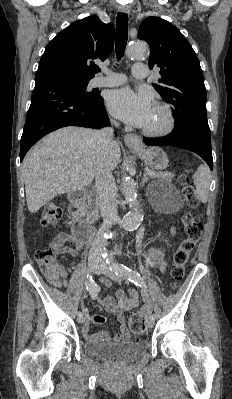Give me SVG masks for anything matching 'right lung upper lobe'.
I'll return each mask as SVG.
<instances>
[{
    "label": "right lung upper lobe",
    "mask_w": 232,
    "mask_h": 399,
    "mask_svg": "<svg viewBox=\"0 0 232 399\" xmlns=\"http://www.w3.org/2000/svg\"><path fill=\"white\" fill-rule=\"evenodd\" d=\"M114 46V26L96 15L78 20L48 43L35 79H91L97 73L95 59L104 61Z\"/></svg>",
    "instance_id": "cb5924a9"
}]
</instances>
